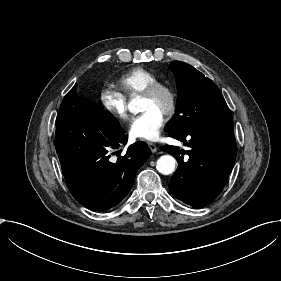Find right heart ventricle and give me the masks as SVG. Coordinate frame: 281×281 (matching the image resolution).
<instances>
[{
    "label": "right heart ventricle",
    "instance_id": "obj_1",
    "mask_svg": "<svg viewBox=\"0 0 281 281\" xmlns=\"http://www.w3.org/2000/svg\"><path fill=\"white\" fill-rule=\"evenodd\" d=\"M158 82V78L152 72L139 66L123 74L118 79L117 85L124 97L132 98Z\"/></svg>",
    "mask_w": 281,
    "mask_h": 281
}]
</instances>
